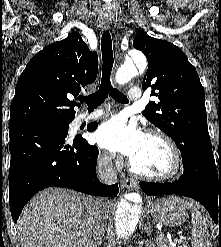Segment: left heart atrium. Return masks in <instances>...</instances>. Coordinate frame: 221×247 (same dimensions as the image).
<instances>
[{
	"mask_svg": "<svg viewBox=\"0 0 221 247\" xmlns=\"http://www.w3.org/2000/svg\"><path fill=\"white\" fill-rule=\"evenodd\" d=\"M145 136L136 123L118 116L104 122L98 128L95 140L101 147L131 159L139 151Z\"/></svg>",
	"mask_w": 221,
	"mask_h": 247,
	"instance_id": "1",
	"label": "left heart atrium"
}]
</instances>
